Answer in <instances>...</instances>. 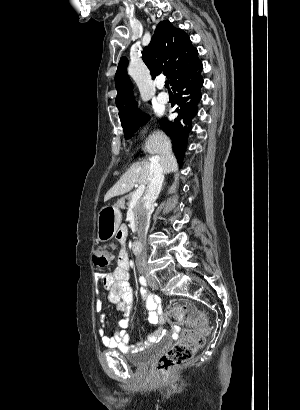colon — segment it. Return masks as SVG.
Wrapping results in <instances>:
<instances>
[{
	"instance_id": "colon-1",
	"label": "colon",
	"mask_w": 300,
	"mask_h": 410,
	"mask_svg": "<svg viewBox=\"0 0 300 410\" xmlns=\"http://www.w3.org/2000/svg\"><path fill=\"white\" fill-rule=\"evenodd\" d=\"M111 252V248L94 251L92 254L94 266L100 270L109 268L112 264ZM172 312L179 317L178 326L184 327L185 330L181 339L158 357L156 370L161 376H168L173 370L186 365L192 359L195 351L204 345L208 330L207 317L193 304H176Z\"/></svg>"
}]
</instances>
